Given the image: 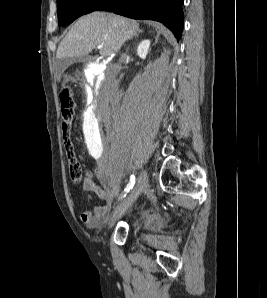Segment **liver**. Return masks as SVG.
<instances>
[{"label":"liver","mask_w":267,"mask_h":298,"mask_svg":"<svg viewBox=\"0 0 267 298\" xmlns=\"http://www.w3.org/2000/svg\"><path fill=\"white\" fill-rule=\"evenodd\" d=\"M139 30V24L131 19L106 12H93L81 17L60 42L56 58L86 56L96 45L102 57L118 52L122 45Z\"/></svg>","instance_id":"6515ba94"}]
</instances>
